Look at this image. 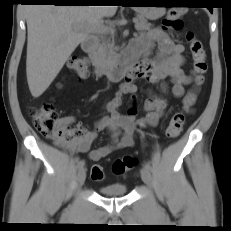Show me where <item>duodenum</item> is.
Returning a JSON list of instances; mask_svg holds the SVG:
<instances>
[{
	"label": "duodenum",
	"instance_id": "1",
	"mask_svg": "<svg viewBox=\"0 0 231 231\" xmlns=\"http://www.w3.org/2000/svg\"><path fill=\"white\" fill-rule=\"evenodd\" d=\"M97 44L95 37H89L82 42V49L91 54L93 69L98 75L109 74L113 79L120 80L127 73H131L134 66L138 63L139 51L135 49L125 52L119 61L106 66L95 51Z\"/></svg>",
	"mask_w": 231,
	"mask_h": 231
}]
</instances>
